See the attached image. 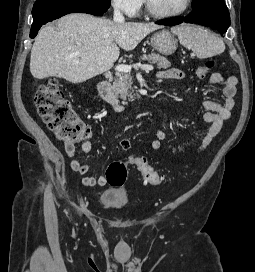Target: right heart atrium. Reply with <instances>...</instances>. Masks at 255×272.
<instances>
[{"label":"right heart atrium","instance_id":"obj_1","mask_svg":"<svg viewBox=\"0 0 255 272\" xmlns=\"http://www.w3.org/2000/svg\"><path fill=\"white\" fill-rule=\"evenodd\" d=\"M113 8L127 16H135L138 14L142 0H110Z\"/></svg>","mask_w":255,"mask_h":272}]
</instances>
